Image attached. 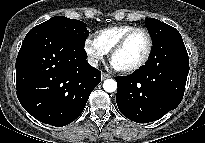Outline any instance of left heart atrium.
Returning <instances> with one entry per match:
<instances>
[{"label":"left heart atrium","mask_w":205,"mask_h":143,"mask_svg":"<svg viewBox=\"0 0 205 143\" xmlns=\"http://www.w3.org/2000/svg\"><path fill=\"white\" fill-rule=\"evenodd\" d=\"M112 67H113L114 69H117V70L120 69L114 62H112Z\"/></svg>","instance_id":"obj_1"}]
</instances>
